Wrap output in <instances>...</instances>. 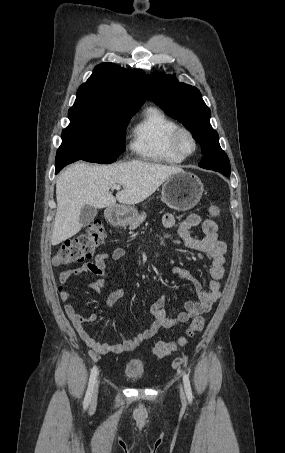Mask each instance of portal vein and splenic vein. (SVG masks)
I'll use <instances>...</instances> for the list:
<instances>
[{
	"instance_id": "portal-vein-and-splenic-vein-1",
	"label": "portal vein and splenic vein",
	"mask_w": 285,
	"mask_h": 453,
	"mask_svg": "<svg viewBox=\"0 0 285 453\" xmlns=\"http://www.w3.org/2000/svg\"><path fill=\"white\" fill-rule=\"evenodd\" d=\"M112 188H113V189H116V190H120V189H121V186H120V185H117V184H114V185H112Z\"/></svg>"
}]
</instances>
